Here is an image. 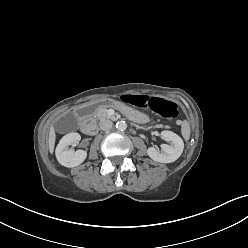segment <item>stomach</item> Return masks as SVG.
<instances>
[{"label": "stomach", "instance_id": "1", "mask_svg": "<svg viewBox=\"0 0 248 248\" xmlns=\"http://www.w3.org/2000/svg\"><path fill=\"white\" fill-rule=\"evenodd\" d=\"M98 110L101 111L115 110L118 114H120L123 117H128L134 123L144 124L148 120L146 114L142 112H137L133 107L124 105L123 102L120 100L117 101H114L112 99L109 100L103 99L101 101L94 100L89 102L83 108L84 113L87 115H91Z\"/></svg>", "mask_w": 248, "mask_h": 248}]
</instances>
